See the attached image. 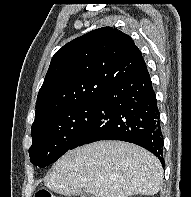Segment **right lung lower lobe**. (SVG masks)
<instances>
[{"mask_svg":"<svg viewBox=\"0 0 191 197\" xmlns=\"http://www.w3.org/2000/svg\"><path fill=\"white\" fill-rule=\"evenodd\" d=\"M97 102L69 150L99 140H121L147 149L164 167L160 113L147 68L108 87Z\"/></svg>","mask_w":191,"mask_h":197,"instance_id":"obj_1","label":"right lung lower lobe"}]
</instances>
